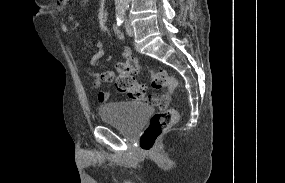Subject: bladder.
Segmentation results:
<instances>
[{"instance_id": "1", "label": "bladder", "mask_w": 285, "mask_h": 183, "mask_svg": "<svg viewBox=\"0 0 285 183\" xmlns=\"http://www.w3.org/2000/svg\"><path fill=\"white\" fill-rule=\"evenodd\" d=\"M152 114V106L141 103L113 102L99 109L103 122L114 124L124 132L136 131Z\"/></svg>"}]
</instances>
